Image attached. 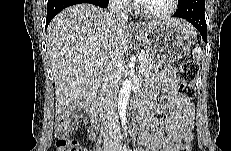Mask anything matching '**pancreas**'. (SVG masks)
<instances>
[{
    "instance_id": "cf45deb5",
    "label": "pancreas",
    "mask_w": 231,
    "mask_h": 151,
    "mask_svg": "<svg viewBox=\"0 0 231 151\" xmlns=\"http://www.w3.org/2000/svg\"><path fill=\"white\" fill-rule=\"evenodd\" d=\"M165 65V62H162L161 60L157 58H153L148 54H145V57L143 60H140V66L139 70L144 73H150L152 71H156L159 68L163 67Z\"/></svg>"
}]
</instances>
